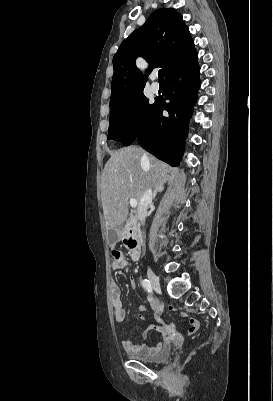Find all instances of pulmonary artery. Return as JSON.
Listing matches in <instances>:
<instances>
[{"mask_svg": "<svg viewBox=\"0 0 273 401\" xmlns=\"http://www.w3.org/2000/svg\"><path fill=\"white\" fill-rule=\"evenodd\" d=\"M151 88L153 89V91L157 92L158 89L161 88L162 83L160 80H152L150 83Z\"/></svg>", "mask_w": 273, "mask_h": 401, "instance_id": "pulmonary-artery-1", "label": "pulmonary artery"}]
</instances>
